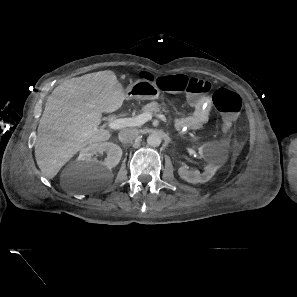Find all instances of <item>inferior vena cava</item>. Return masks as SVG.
I'll use <instances>...</instances> for the list:
<instances>
[{
  "label": "inferior vena cava",
  "mask_w": 297,
  "mask_h": 297,
  "mask_svg": "<svg viewBox=\"0 0 297 297\" xmlns=\"http://www.w3.org/2000/svg\"><path fill=\"white\" fill-rule=\"evenodd\" d=\"M139 136V130L136 128H126L119 132L118 138L123 143H132Z\"/></svg>",
  "instance_id": "inferior-vena-cava-1"
}]
</instances>
